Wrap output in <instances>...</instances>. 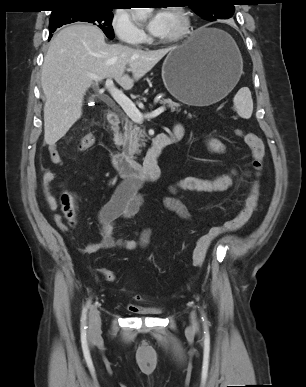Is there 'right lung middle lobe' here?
Returning <instances> with one entry per match:
<instances>
[{"label": "right lung middle lobe", "mask_w": 306, "mask_h": 387, "mask_svg": "<svg viewBox=\"0 0 306 387\" xmlns=\"http://www.w3.org/2000/svg\"><path fill=\"white\" fill-rule=\"evenodd\" d=\"M112 9L111 7L104 6H74L64 8L51 14L49 31L54 32L64 24L81 21L93 23L101 28L108 38L113 39L114 32L111 25L113 19Z\"/></svg>", "instance_id": "dd1d6c3e"}]
</instances>
